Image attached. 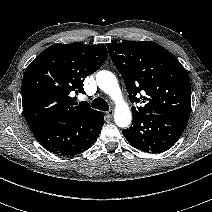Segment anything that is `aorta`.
<instances>
[{
    "label": "aorta",
    "mask_w": 212,
    "mask_h": 212,
    "mask_svg": "<svg viewBox=\"0 0 212 212\" xmlns=\"http://www.w3.org/2000/svg\"><path fill=\"white\" fill-rule=\"evenodd\" d=\"M98 87L108 94L116 104L114 121L118 127L126 128L131 124L132 113L129 106L123 100L121 89L116 76L107 70H101L96 74Z\"/></svg>",
    "instance_id": "762f6f07"
}]
</instances>
